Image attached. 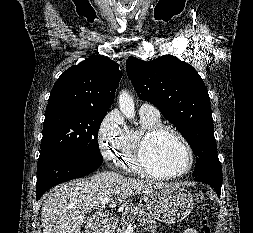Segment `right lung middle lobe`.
<instances>
[{
  "instance_id": "1",
  "label": "right lung middle lobe",
  "mask_w": 253,
  "mask_h": 233,
  "mask_svg": "<svg viewBox=\"0 0 253 233\" xmlns=\"http://www.w3.org/2000/svg\"><path fill=\"white\" fill-rule=\"evenodd\" d=\"M106 114L86 106H47L39 160L67 155L102 161L97 138Z\"/></svg>"
}]
</instances>
